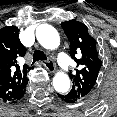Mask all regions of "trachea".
Returning <instances> with one entry per match:
<instances>
[{"mask_svg": "<svg viewBox=\"0 0 117 117\" xmlns=\"http://www.w3.org/2000/svg\"><path fill=\"white\" fill-rule=\"evenodd\" d=\"M39 60L46 61L47 57H46V55L43 51L35 50L34 54H33V62H36V61H39Z\"/></svg>", "mask_w": 117, "mask_h": 117, "instance_id": "3493384b", "label": "trachea"}]
</instances>
